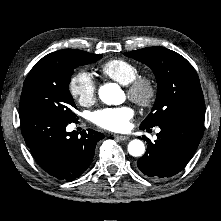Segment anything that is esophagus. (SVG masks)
Returning a JSON list of instances; mask_svg holds the SVG:
<instances>
[{
    "label": "esophagus",
    "instance_id": "esophagus-1",
    "mask_svg": "<svg viewBox=\"0 0 221 221\" xmlns=\"http://www.w3.org/2000/svg\"><path fill=\"white\" fill-rule=\"evenodd\" d=\"M114 137L120 141H126L129 139V137L125 135H114Z\"/></svg>",
    "mask_w": 221,
    "mask_h": 221
}]
</instances>
